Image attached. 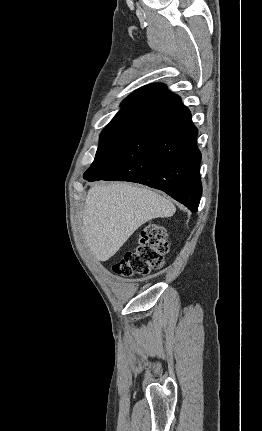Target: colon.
Masks as SVG:
<instances>
[{
  "instance_id": "obj_1",
  "label": "colon",
  "mask_w": 262,
  "mask_h": 431,
  "mask_svg": "<svg viewBox=\"0 0 262 431\" xmlns=\"http://www.w3.org/2000/svg\"><path fill=\"white\" fill-rule=\"evenodd\" d=\"M168 250L166 232L157 223L146 224L136 237L135 246L123 253L113 270L126 278L143 277L160 269Z\"/></svg>"
}]
</instances>
